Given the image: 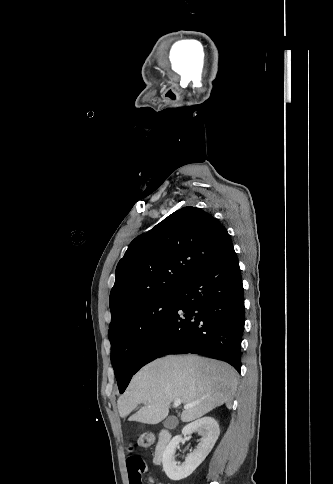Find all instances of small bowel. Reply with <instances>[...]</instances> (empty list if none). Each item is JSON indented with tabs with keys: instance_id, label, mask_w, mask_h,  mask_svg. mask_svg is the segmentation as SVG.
<instances>
[{
	"instance_id": "small-bowel-1",
	"label": "small bowel",
	"mask_w": 333,
	"mask_h": 484,
	"mask_svg": "<svg viewBox=\"0 0 333 484\" xmlns=\"http://www.w3.org/2000/svg\"><path fill=\"white\" fill-rule=\"evenodd\" d=\"M130 484H142L141 476L147 471L144 460L137 454H130L126 459Z\"/></svg>"
}]
</instances>
